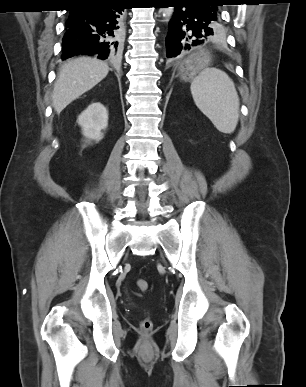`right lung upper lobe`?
<instances>
[{
  "label": "right lung upper lobe",
  "mask_w": 306,
  "mask_h": 387,
  "mask_svg": "<svg viewBox=\"0 0 306 387\" xmlns=\"http://www.w3.org/2000/svg\"><path fill=\"white\" fill-rule=\"evenodd\" d=\"M71 1H72V4L80 5V4H97L107 0H71ZM71 24H72V19L69 17L66 25H71Z\"/></svg>",
  "instance_id": "right-lung-upper-lobe-1"
}]
</instances>
